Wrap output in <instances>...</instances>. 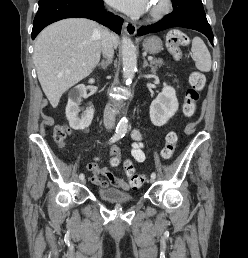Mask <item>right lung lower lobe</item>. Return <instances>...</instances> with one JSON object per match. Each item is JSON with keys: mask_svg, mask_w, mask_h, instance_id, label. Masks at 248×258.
Wrapping results in <instances>:
<instances>
[{"mask_svg": "<svg viewBox=\"0 0 248 258\" xmlns=\"http://www.w3.org/2000/svg\"><path fill=\"white\" fill-rule=\"evenodd\" d=\"M88 18L121 33L123 19L104 10L103 0H39L32 39L47 25L65 18Z\"/></svg>", "mask_w": 248, "mask_h": 258, "instance_id": "1", "label": "right lung lower lobe"}]
</instances>
